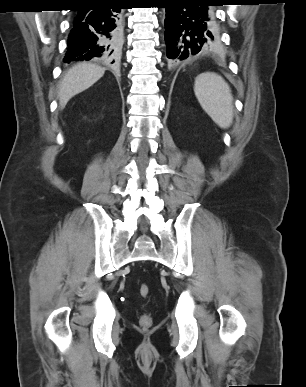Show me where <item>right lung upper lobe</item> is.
Masks as SVG:
<instances>
[{"mask_svg": "<svg viewBox=\"0 0 306 387\" xmlns=\"http://www.w3.org/2000/svg\"><path fill=\"white\" fill-rule=\"evenodd\" d=\"M81 1L84 3H93V2H97L99 0H81Z\"/></svg>", "mask_w": 306, "mask_h": 387, "instance_id": "1", "label": "right lung upper lobe"}]
</instances>
